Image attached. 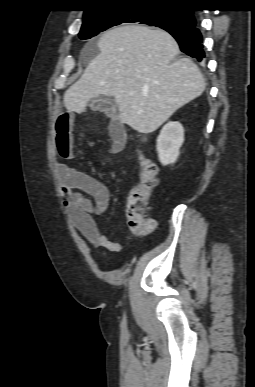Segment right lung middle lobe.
Listing matches in <instances>:
<instances>
[{"label":"right lung middle lobe","instance_id":"right-lung-middle-lobe-1","mask_svg":"<svg viewBox=\"0 0 255 387\" xmlns=\"http://www.w3.org/2000/svg\"><path fill=\"white\" fill-rule=\"evenodd\" d=\"M134 22L156 27L187 24V20L181 12V9H161L145 6L119 7L83 17L79 37L82 40L90 39L110 27L121 23Z\"/></svg>","mask_w":255,"mask_h":387}]
</instances>
